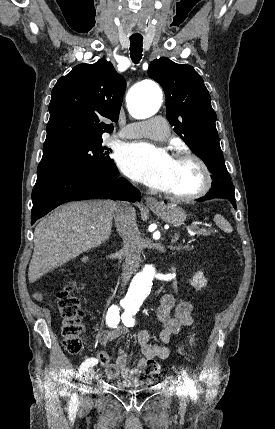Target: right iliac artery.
<instances>
[{"label": "right iliac artery", "mask_w": 275, "mask_h": 429, "mask_svg": "<svg viewBox=\"0 0 275 429\" xmlns=\"http://www.w3.org/2000/svg\"><path fill=\"white\" fill-rule=\"evenodd\" d=\"M119 311H120V308L117 305H112L108 309V312L106 315V323L109 327L115 328L119 324V321H120ZM96 363H97L96 358H89L85 360L80 365L78 375H82L83 373H85V371L88 370L89 367L94 366ZM70 403L72 408H75L77 406V396L75 394L71 397Z\"/></svg>", "instance_id": "right-iliac-artery-1"}]
</instances>
